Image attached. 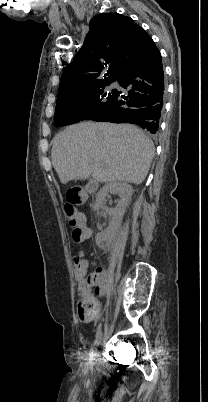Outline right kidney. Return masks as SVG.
Instances as JSON below:
<instances>
[{"label": "right kidney", "mask_w": 208, "mask_h": 402, "mask_svg": "<svg viewBox=\"0 0 208 402\" xmlns=\"http://www.w3.org/2000/svg\"><path fill=\"white\" fill-rule=\"evenodd\" d=\"M109 194H116V196H119L120 200L117 202L116 208H106V206H104L106 198L109 196ZM131 196L132 188L129 186V184H126V182H108V184H105V186L99 190L96 196L94 212H98V210H106L109 216H114L116 224L113 226V228H108L109 232H106V234H97V246H100L102 242H108V244H110L113 238H115L119 230L121 220L125 214V210L128 204L131 202Z\"/></svg>", "instance_id": "obj_1"}]
</instances>
